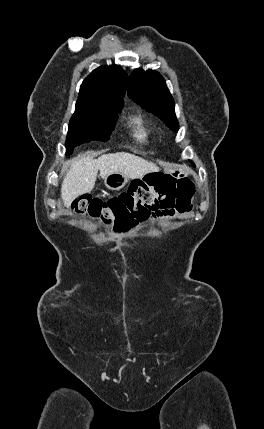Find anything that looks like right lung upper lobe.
<instances>
[{
	"label": "right lung upper lobe",
	"instance_id": "right-lung-upper-lobe-1",
	"mask_svg": "<svg viewBox=\"0 0 264 429\" xmlns=\"http://www.w3.org/2000/svg\"><path fill=\"white\" fill-rule=\"evenodd\" d=\"M126 80L120 66L99 67L83 81L77 102L123 104Z\"/></svg>",
	"mask_w": 264,
	"mask_h": 429
}]
</instances>
